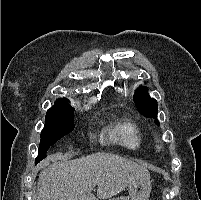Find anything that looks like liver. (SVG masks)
I'll use <instances>...</instances> for the list:
<instances>
[{"mask_svg": "<svg viewBox=\"0 0 201 200\" xmlns=\"http://www.w3.org/2000/svg\"><path fill=\"white\" fill-rule=\"evenodd\" d=\"M139 178L150 179L144 166L110 153H95L44 169L38 179V200H104ZM95 185L97 197L92 194Z\"/></svg>", "mask_w": 201, "mask_h": 200, "instance_id": "6515ba94", "label": "liver"}]
</instances>
